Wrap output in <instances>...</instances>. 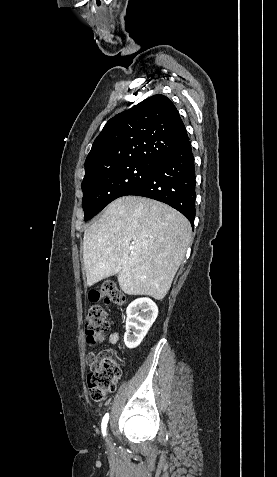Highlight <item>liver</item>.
<instances>
[{
    "label": "liver",
    "mask_w": 277,
    "mask_h": 477,
    "mask_svg": "<svg viewBox=\"0 0 277 477\" xmlns=\"http://www.w3.org/2000/svg\"><path fill=\"white\" fill-rule=\"evenodd\" d=\"M191 233L187 218L167 204L137 196L116 199L84 232L88 286L117 274L126 294L162 300L184 259Z\"/></svg>",
    "instance_id": "obj_1"
}]
</instances>
